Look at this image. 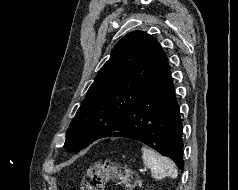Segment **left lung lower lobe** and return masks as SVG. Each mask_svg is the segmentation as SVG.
Here are the masks:
<instances>
[{"instance_id":"left-lung-lower-lobe-1","label":"left lung lower lobe","mask_w":238,"mask_h":190,"mask_svg":"<svg viewBox=\"0 0 238 190\" xmlns=\"http://www.w3.org/2000/svg\"><path fill=\"white\" fill-rule=\"evenodd\" d=\"M182 128L180 107L167 66L103 137L119 135L140 141L171 158L183 171Z\"/></svg>"}]
</instances>
